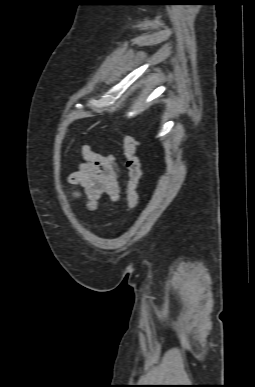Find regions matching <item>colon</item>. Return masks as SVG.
<instances>
[{
    "instance_id": "1",
    "label": "colon",
    "mask_w": 255,
    "mask_h": 387,
    "mask_svg": "<svg viewBox=\"0 0 255 387\" xmlns=\"http://www.w3.org/2000/svg\"><path fill=\"white\" fill-rule=\"evenodd\" d=\"M137 140L131 135L123 136V150L125 156V166L128 171L127 183V206L134 209L138 204V184L141 178V165L137 156Z\"/></svg>"
}]
</instances>
